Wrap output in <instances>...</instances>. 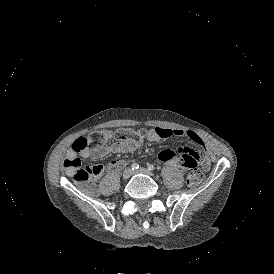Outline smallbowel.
Masks as SVG:
<instances>
[{
    "label": "small bowel",
    "instance_id": "c3829d8e",
    "mask_svg": "<svg viewBox=\"0 0 274 274\" xmlns=\"http://www.w3.org/2000/svg\"><path fill=\"white\" fill-rule=\"evenodd\" d=\"M170 137H181L185 140L193 143L198 153L193 152L189 148H178L174 147L158 149L155 152V157L158 160H163L168 166L179 168L184 166L189 169H198L200 163L203 168L208 169L210 167V157L207 155V147L203 139L195 132L190 130L182 129H169L166 127H153L150 128L146 133V139L149 142H156L161 139ZM139 146L137 142H121L116 141L109 145H98L92 147H85L80 151L83 158L100 159L109 153H127L135 150ZM201 157V161H198ZM122 166V162H111L107 165L106 169H114ZM101 172L104 168L100 166Z\"/></svg>",
    "mask_w": 274,
    "mask_h": 274
}]
</instances>
